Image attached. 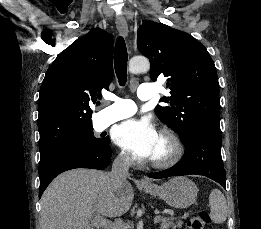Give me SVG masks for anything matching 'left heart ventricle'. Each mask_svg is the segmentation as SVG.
<instances>
[{"mask_svg":"<svg viewBox=\"0 0 261 229\" xmlns=\"http://www.w3.org/2000/svg\"><path fill=\"white\" fill-rule=\"evenodd\" d=\"M167 152V145L166 142L160 137L158 146L155 150V153L151 159H160L162 158Z\"/></svg>","mask_w":261,"mask_h":229,"instance_id":"1","label":"left heart ventricle"}]
</instances>
